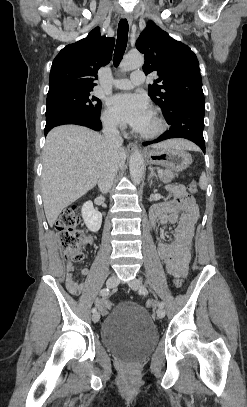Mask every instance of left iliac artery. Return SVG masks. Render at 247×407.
<instances>
[{
    "label": "left iliac artery",
    "mask_w": 247,
    "mask_h": 407,
    "mask_svg": "<svg viewBox=\"0 0 247 407\" xmlns=\"http://www.w3.org/2000/svg\"><path fill=\"white\" fill-rule=\"evenodd\" d=\"M139 291H140L141 294H144V295L148 294V290H147L144 286H142V287L139 289ZM158 306H159V308H163V307H164V303H163V302H159Z\"/></svg>",
    "instance_id": "1"
}]
</instances>
